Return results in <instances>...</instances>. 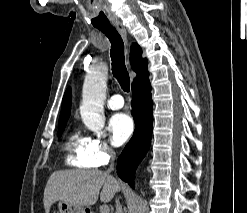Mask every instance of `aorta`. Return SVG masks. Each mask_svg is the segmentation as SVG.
<instances>
[{
	"instance_id": "aorta-1",
	"label": "aorta",
	"mask_w": 247,
	"mask_h": 213,
	"mask_svg": "<svg viewBox=\"0 0 247 213\" xmlns=\"http://www.w3.org/2000/svg\"><path fill=\"white\" fill-rule=\"evenodd\" d=\"M108 67L101 64L89 71L85 76L80 114L85 126L95 133L104 127V101L106 98V82Z\"/></svg>"
}]
</instances>
